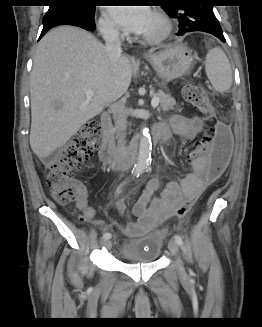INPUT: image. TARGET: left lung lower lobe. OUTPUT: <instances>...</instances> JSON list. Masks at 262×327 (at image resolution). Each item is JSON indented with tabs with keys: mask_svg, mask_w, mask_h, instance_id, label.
I'll list each match as a JSON object with an SVG mask.
<instances>
[{
	"mask_svg": "<svg viewBox=\"0 0 262 327\" xmlns=\"http://www.w3.org/2000/svg\"><path fill=\"white\" fill-rule=\"evenodd\" d=\"M217 38H219L223 43H225V38L223 35H216Z\"/></svg>",
	"mask_w": 262,
	"mask_h": 327,
	"instance_id": "0a47b994",
	"label": "left lung lower lobe"
}]
</instances>
